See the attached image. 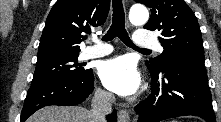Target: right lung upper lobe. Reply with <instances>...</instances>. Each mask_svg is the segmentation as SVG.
I'll use <instances>...</instances> for the list:
<instances>
[{
    "mask_svg": "<svg viewBox=\"0 0 221 122\" xmlns=\"http://www.w3.org/2000/svg\"><path fill=\"white\" fill-rule=\"evenodd\" d=\"M109 7L110 0H58L46 20L38 59L79 54L83 34L105 22Z\"/></svg>",
    "mask_w": 221,
    "mask_h": 122,
    "instance_id": "obj_1",
    "label": "right lung upper lobe"
}]
</instances>
